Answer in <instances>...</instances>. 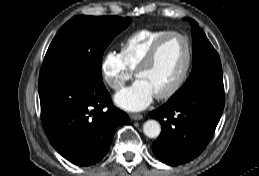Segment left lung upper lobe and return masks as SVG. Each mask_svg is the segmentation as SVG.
<instances>
[{"instance_id":"left-lung-upper-lobe-1","label":"left lung upper lobe","mask_w":259,"mask_h":176,"mask_svg":"<svg viewBox=\"0 0 259 176\" xmlns=\"http://www.w3.org/2000/svg\"><path fill=\"white\" fill-rule=\"evenodd\" d=\"M193 37V67L184 84L171 98L175 100L201 89H212L224 92L222 67L218 53L213 48L197 22L189 19ZM169 100V101H170Z\"/></svg>"}]
</instances>
